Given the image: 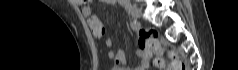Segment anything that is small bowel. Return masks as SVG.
<instances>
[{
  "label": "small bowel",
  "mask_w": 238,
  "mask_h": 70,
  "mask_svg": "<svg viewBox=\"0 0 238 70\" xmlns=\"http://www.w3.org/2000/svg\"><path fill=\"white\" fill-rule=\"evenodd\" d=\"M105 4H111L114 0H102ZM82 13L86 17L88 26L94 38L100 39L105 34L104 26L101 20L92 12L89 4H82ZM105 45L110 47L112 45V40L110 38L105 40ZM136 55L141 58V62L135 68H128L126 66V57L122 50L110 51L109 57L116 63V69L118 70H146L149 68L151 53L147 51L146 40L144 35H140L138 39V49Z\"/></svg>",
  "instance_id": "c3829d8e"
}]
</instances>
